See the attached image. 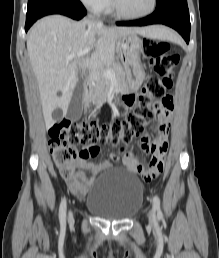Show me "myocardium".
<instances>
[{
    "mask_svg": "<svg viewBox=\"0 0 219 258\" xmlns=\"http://www.w3.org/2000/svg\"><path fill=\"white\" fill-rule=\"evenodd\" d=\"M111 2H112V8H113L114 12L116 13V15H118L119 17L125 18V19H141V18L147 17L155 11L157 4H158V0H152V5H151L150 9L147 10L146 12L140 13V14H128L122 10V8L119 5L118 0H111Z\"/></svg>",
    "mask_w": 219,
    "mask_h": 258,
    "instance_id": "myocardium-1",
    "label": "myocardium"
}]
</instances>
